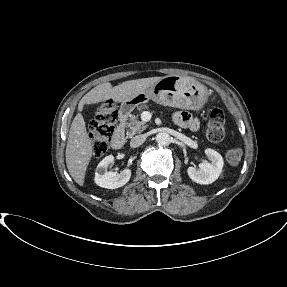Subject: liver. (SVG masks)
<instances>
[{
	"label": "liver",
	"mask_w": 287,
	"mask_h": 287,
	"mask_svg": "<svg viewBox=\"0 0 287 287\" xmlns=\"http://www.w3.org/2000/svg\"><path fill=\"white\" fill-rule=\"evenodd\" d=\"M162 77H150L125 81L112 87L106 82L97 85L85 94L79 102L78 113L74 117L66 146V165L71 177L80 185H84L85 174L93 154V144L88 136L85 121L80 113L85 104H97L112 99L122 102L145 92Z\"/></svg>",
	"instance_id": "6515ba94"
}]
</instances>
